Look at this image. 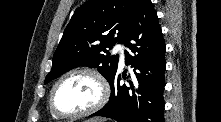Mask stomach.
<instances>
[{"mask_svg": "<svg viewBox=\"0 0 221 122\" xmlns=\"http://www.w3.org/2000/svg\"><path fill=\"white\" fill-rule=\"evenodd\" d=\"M85 122H107V119H104V118H92V119L86 120Z\"/></svg>", "mask_w": 221, "mask_h": 122, "instance_id": "1", "label": "stomach"}]
</instances>
